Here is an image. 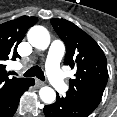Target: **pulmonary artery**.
Returning <instances> with one entry per match:
<instances>
[{
    "label": "pulmonary artery",
    "instance_id": "obj_1",
    "mask_svg": "<svg viewBox=\"0 0 117 117\" xmlns=\"http://www.w3.org/2000/svg\"><path fill=\"white\" fill-rule=\"evenodd\" d=\"M64 54V45L61 41L55 40L51 43L47 60L46 72L53 87L60 93L67 91L68 86L61 74L59 64Z\"/></svg>",
    "mask_w": 117,
    "mask_h": 117
}]
</instances>
